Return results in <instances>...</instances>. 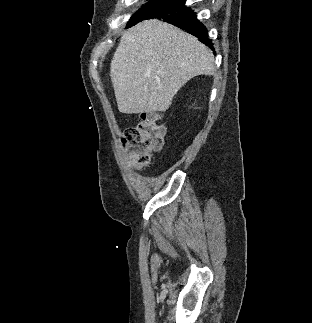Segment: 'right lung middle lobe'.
<instances>
[{
    "label": "right lung middle lobe",
    "mask_w": 312,
    "mask_h": 323,
    "mask_svg": "<svg viewBox=\"0 0 312 323\" xmlns=\"http://www.w3.org/2000/svg\"><path fill=\"white\" fill-rule=\"evenodd\" d=\"M185 0H150L142 6L128 22V27L136 23L153 18H161L171 13L185 9Z\"/></svg>",
    "instance_id": "right-lung-middle-lobe-1"
}]
</instances>
